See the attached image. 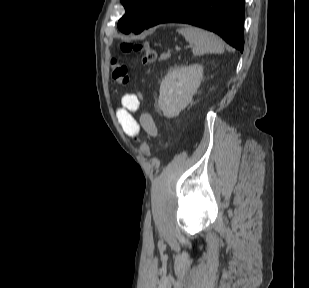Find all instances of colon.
<instances>
[{"instance_id":"colon-1","label":"colon","mask_w":309,"mask_h":288,"mask_svg":"<svg viewBox=\"0 0 309 288\" xmlns=\"http://www.w3.org/2000/svg\"><path fill=\"white\" fill-rule=\"evenodd\" d=\"M124 51H134L142 54V63L144 65H151L157 60V52L150 46L137 43L127 45L123 48ZM112 78L119 85H126L129 81L128 68L124 64L118 63L116 60L112 62ZM139 140L138 137H136ZM149 147L142 143V152L144 155L149 154Z\"/></svg>"}]
</instances>
